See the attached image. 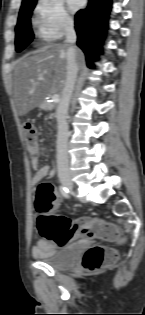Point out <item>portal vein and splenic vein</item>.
Listing matches in <instances>:
<instances>
[{
	"mask_svg": "<svg viewBox=\"0 0 145 315\" xmlns=\"http://www.w3.org/2000/svg\"><path fill=\"white\" fill-rule=\"evenodd\" d=\"M39 79H42V78H39ZM52 99H53L54 101H58V100H59V95H58V94H54V95L52 96Z\"/></svg>",
	"mask_w": 145,
	"mask_h": 315,
	"instance_id": "18ae733b",
	"label": "portal vein and splenic vein"
}]
</instances>
